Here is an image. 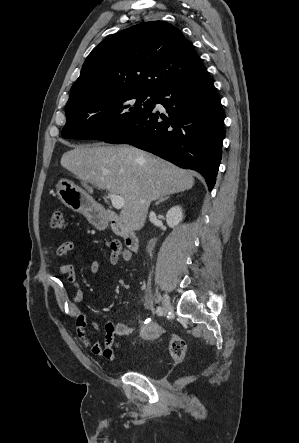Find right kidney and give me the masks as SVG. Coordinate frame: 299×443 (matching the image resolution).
<instances>
[{"label":"right kidney","mask_w":299,"mask_h":443,"mask_svg":"<svg viewBox=\"0 0 299 443\" xmlns=\"http://www.w3.org/2000/svg\"><path fill=\"white\" fill-rule=\"evenodd\" d=\"M183 219L182 208L172 207L166 214V222L170 228L176 227Z\"/></svg>","instance_id":"obj_1"}]
</instances>
